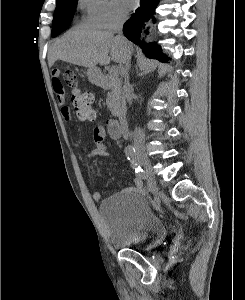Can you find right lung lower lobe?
<instances>
[{"label":"right lung lower lobe","mask_w":245,"mask_h":300,"mask_svg":"<svg viewBox=\"0 0 245 300\" xmlns=\"http://www.w3.org/2000/svg\"><path fill=\"white\" fill-rule=\"evenodd\" d=\"M158 2L159 0H141V8L137 9L124 24L123 33L130 41L140 46L146 56L168 60V57L161 53V49L154 42L145 41V34L150 24L155 22L154 14Z\"/></svg>","instance_id":"right-lung-lower-lobe-1"}]
</instances>
